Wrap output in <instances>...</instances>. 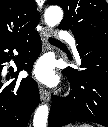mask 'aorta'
<instances>
[{
  "mask_svg": "<svg viewBox=\"0 0 108 127\" xmlns=\"http://www.w3.org/2000/svg\"><path fill=\"white\" fill-rule=\"evenodd\" d=\"M62 18L63 11L59 6H50L46 9L44 14L45 23L48 25V27H54L58 25ZM48 114L49 108L46 104L39 106L34 115L33 127H46Z\"/></svg>",
  "mask_w": 108,
  "mask_h": 127,
  "instance_id": "aorta-1",
  "label": "aorta"
}]
</instances>
